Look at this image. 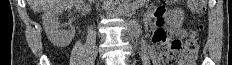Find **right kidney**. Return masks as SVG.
Returning a JSON list of instances; mask_svg holds the SVG:
<instances>
[{"instance_id":"right-kidney-1","label":"right kidney","mask_w":232,"mask_h":65,"mask_svg":"<svg viewBox=\"0 0 232 65\" xmlns=\"http://www.w3.org/2000/svg\"><path fill=\"white\" fill-rule=\"evenodd\" d=\"M75 5V0H56L42 16L43 28L48 39L57 47H66L70 44L75 35L74 27L68 30H60L58 24L59 15L64 10Z\"/></svg>"}]
</instances>
